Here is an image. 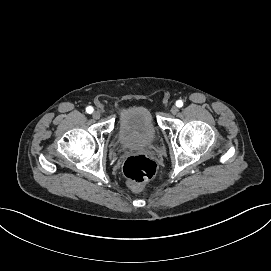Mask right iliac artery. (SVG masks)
Masks as SVG:
<instances>
[{"label":"right iliac artery","mask_w":271,"mask_h":271,"mask_svg":"<svg viewBox=\"0 0 271 271\" xmlns=\"http://www.w3.org/2000/svg\"><path fill=\"white\" fill-rule=\"evenodd\" d=\"M86 112L89 113V114H91V113L93 112V107L88 106V107L86 108Z\"/></svg>","instance_id":"obj_1"}]
</instances>
